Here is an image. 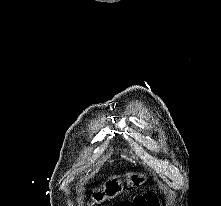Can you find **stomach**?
Listing matches in <instances>:
<instances>
[{
  "label": "stomach",
  "mask_w": 221,
  "mask_h": 206,
  "mask_svg": "<svg viewBox=\"0 0 221 206\" xmlns=\"http://www.w3.org/2000/svg\"><path fill=\"white\" fill-rule=\"evenodd\" d=\"M148 179L145 173L131 172L125 176V181L130 187H140ZM123 181L119 176L109 178L104 184L92 193V199L96 204L117 197L123 190Z\"/></svg>",
  "instance_id": "stomach-1"
}]
</instances>
